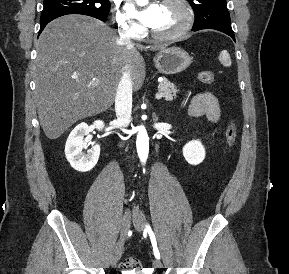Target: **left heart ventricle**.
Listing matches in <instances>:
<instances>
[{
  "instance_id": "1",
  "label": "left heart ventricle",
  "mask_w": 289,
  "mask_h": 274,
  "mask_svg": "<svg viewBox=\"0 0 289 274\" xmlns=\"http://www.w3.org/2000/svg\"><path fill=\"white\" fill-rule=\"evenodd\" d=\"M184 21V11L177 3L160 4L158 14L151 28L160 33L178 29Z\"/></svg>"
}]
</instances>
